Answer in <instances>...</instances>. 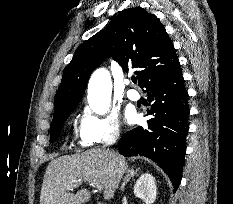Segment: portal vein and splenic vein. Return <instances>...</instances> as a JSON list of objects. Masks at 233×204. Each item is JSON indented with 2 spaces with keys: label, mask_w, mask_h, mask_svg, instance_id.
I'll return each instance as SVG.
<instances>
[{
  "label": "portal vein and splenic vein",
  "mask_w": 233,
  "mask_h": 204,
  "mask_svg": "<svg viewBox=\"0 0 233 204\" xmlns=\"http://www.w3.org/2000/svg\"><path fill=\"white\" fill-rule=\"evenodd\" d=\"M81 183L82 182L74 184V187H77ZM90 186L93 187V188H95L97 191H101L103 189V186L101 184H98V183H91Z\"/></svg>",
  "instance_id": "1"
}]
</instances>
